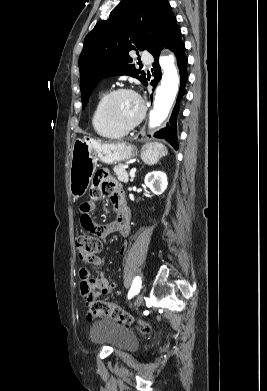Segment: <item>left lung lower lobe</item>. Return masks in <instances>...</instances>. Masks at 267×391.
Instances as JSON below:
<instances>
[{"label":"left lung lower lobe","instance_id":"1","mask_svg":"<svg viewBox=\"0 0 267 391\" xmlns=\"http://www.w3.org/2000/svg\"><path fill=\"white\" fill-rule=\"evenodd\" d=\"M164 48L171 50L174 52L176 58H177V65L180 71V89L179 94L176 100V105L173 109L172 116L170 118L169 123H167L166 127L154 134V137L165 139L167 142H169L176 150L178 149V142H177V115L179 112V103L182 98V96L185 94V84L188 78L186 66H187V57L185 55V45L181 40V31L179 29V26L176 25L166 36L164 41H162L160 44H158L152 51L151 54L153 55L155 62L153 64V67L155 68L153 76L154 80L151 81V85L153 87H156L158 82L161 79V68L158 63L159 55L161 50ZM147 85V81L145 83Z\"/></svg>","mask_w":267,"mask_h":391}]
</instances>
